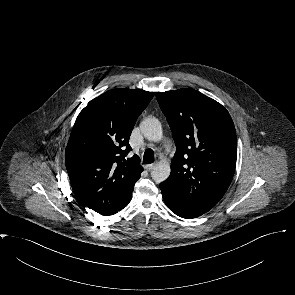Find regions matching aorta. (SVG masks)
Segmentation results:
<instances>
[{"instance_id":"762f6f07","label":"aorta","mask_w":295,"mask_h":295,"mask_svg":"<svg viewBox=\"0 0 295 295\" xmlns=\"http://www.w3.org/2000/svg\"><path fill=\"white\" fill-rule=\"evenodd\" d=\"M140 130L143 136L150 141H160L163 137V130L160 121L155 117H149L140 123ZM171 172L169 162L162 161L155 165L151 177L156 183L165 181Z\"/></svg>"}]
</instances>
